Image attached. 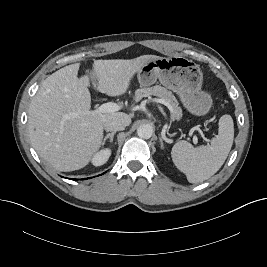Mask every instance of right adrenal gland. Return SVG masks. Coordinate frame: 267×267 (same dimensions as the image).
Returning <instances> with one entry per match:
<instances>
[{"mask_svg":"<svg viewBox=\"0 0 267 267\" xmlns=\"http://www.w3.org/2000/svg\"><path fill=\"white\" fill-rule=\"evenodd\" d=\"M115 134H116V132L108 133V134L104 137V139H103V141H102V146L105 145V142H106L107 139H109V140H110V143H112Z\"/></svg>","mask_w":267,"mask_h":267,"instance_id":"2a0ac1e0","label":"right adrenal gland"}]
</instances>
